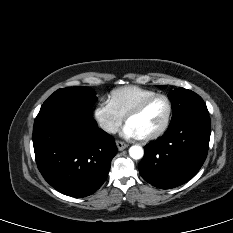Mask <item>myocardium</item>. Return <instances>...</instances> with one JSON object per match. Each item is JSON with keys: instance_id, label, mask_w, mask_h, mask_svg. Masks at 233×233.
<instances>
[{"instance_id": "obj_1", "label": "myocardium", "mask_w": 233, "mask_h": 233, "mask_svg": "<svg viewBox=\"0 0 233 233\" xmlns=\"http://www.w3.org/2000/svg\"><path fill=\"white\" fill-rule=\"evenodd\" d=\"M156 99H163L167 104V115L165 118V121L163 125L154 133L146 135V136H139V139L142 141H152L159 137H161L169 128V125L171 123L172 115H173V105L171 99L162 93H156L146 99H144L142 102H140L137 106H135L131 111L128 112V114L125 116V123L127 124L128 121L141 114L153 101Z\"/></svg>"}]
</instances>
